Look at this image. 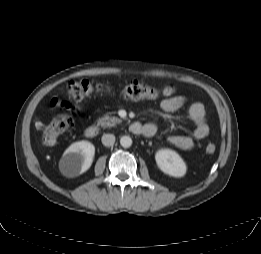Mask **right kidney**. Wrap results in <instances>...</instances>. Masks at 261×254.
I'll use <instances>...</instances> for the list:
<instances>
[{
  "label": "right kidney",
  "mask_w": 261,
  "mask_h": 254,
  "mask_svg": "<svg viewBox=\"0 0 261 254\" xmlns=\"http://www.w3.org/2000/svg\"><path fill=\"white\" fill-rule=\"evenodd\" d=\"M95 147L88 141H79L71 144L64 152L61 166L64 174L74 177L87 171L94 158Z\"/></svg>",
  "instance_id": "right-kidney-1"
}]
</instances>
